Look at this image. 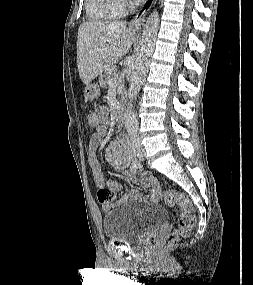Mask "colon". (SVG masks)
<instances>
[{
	"instance_id": "5ec220e1",
	"label": "colon",
	"mask_w": 253,
	"mask_h": 285,
	"mask_svg": "<svg viewBox=\"0 0 253 285\" xmlns=\"http://www.w3.org/2000/svg\"><path fill=\"white\" fill-rule=\"evenodd\" d=\"M87 118L90 126L94 128L102 124L98 113L89 112ZM98 198L101 202H110L114 198V192L109 188H102L98 192ZM164 201L169 206L177 205L180 211L178 228L169 233L163 242L165 248H171L175 246L182 237L191 233L196 223V217L191 201L182 192L168 190L164 194Z\"/></svg>"
}]
</instances>
